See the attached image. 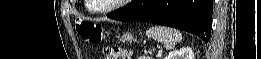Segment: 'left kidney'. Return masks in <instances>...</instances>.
I'll list each match as a JSON object with an SVG mask.
<instances>
[{
  "mask_svg": "<svg viewBox=\"0 0 261 59\" xmlns=\"http://www.w3.org/2000/svg\"><path fill=\"white\" fill-rule=\"evenodd\" d=\"M164 59H194V53L191 48L184 47L180 50H173L169 52Z\"/></svg>",
  "mask_w": 261,
  "mask_h": 59,
  "instance_id": "5707ae66",
  "label": "left kidney"
}]
</instances>
